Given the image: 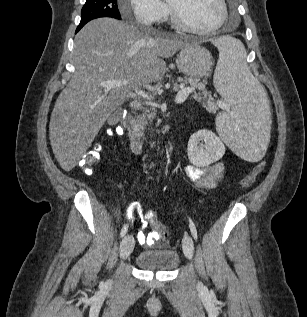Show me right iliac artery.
Returning a JSON list of instances; mask_svg holds the SVG:
<instances>
[{"label": "right iliac artery", "instance_id": "right-iliac-artery-1", "mask_svg": "<svg viewBox=\"0 0 307 317\" xmlns=\"http://www.w3.org/2000/svg\"><path fill=\"white\" fill-rule=\"evenodd\" d=\"M127 230H128V225H124L123 228L121 229L120 236L123 237L126 234Z\"/></svg>", "mask_w": 307, "mask_h": 317}]
</instances>
